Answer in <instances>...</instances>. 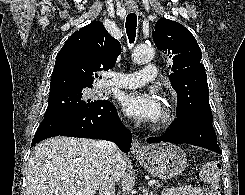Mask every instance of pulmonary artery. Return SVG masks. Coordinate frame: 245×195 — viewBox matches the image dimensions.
Segmentation results:
<instances>
[{"mask_svg": "<svg viewBox=\"0 0 245 195\" xmlns=\"http://www.w3.org/2000/svg\"><path fill=\"white\" fill-rule=\"evenodd\" d=\"M156 77V67L148 64L144 72L122 73L117 72L111 75L108 85L117 88H134L145 85Z\"/></svg>", "mask_w": 245, "mask_h": 195, "instance_id": "1", "label": "pulmonary artery"}]
</instances>
